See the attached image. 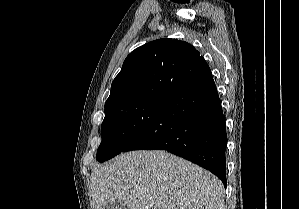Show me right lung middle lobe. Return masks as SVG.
<instances>
[{
  "label": "right lung middle lobe",
  "instance_id": "dd1d6c3e",
  "mask_svg": "<svg viewBox=\"0 0 299 209\" xmlns=\"http://www.w3.org/2000/svg\"><path fill=\"white\" fill-rule=\"evenodd\" d=\"M162 104L142 101L106 110L97 161L104 162L121 153L144 130Z\"/></svg>",
  "mask_w": 299,
  "mask_h": 209
}]
</instances>
